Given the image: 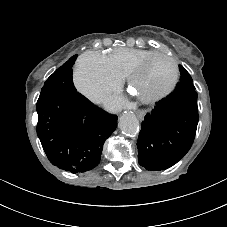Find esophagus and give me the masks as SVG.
<instances>
[{
    "label": "esophagus",
    "instance_id": "34e87169",
    "mask_svg": "<svg viewBox=\"0 0 227 227\" xmlns=\"http://www.w3.org/2000/svg\"><path fill=\"white\" fill-rule=\"evenodd\" d=\"M137 115H138V118L142 120L144 118V116H145V111H143V110L138 111Z\"/></svg>",
    "mask_w": 227,
    "mask_h": 227
}]
</instances>
